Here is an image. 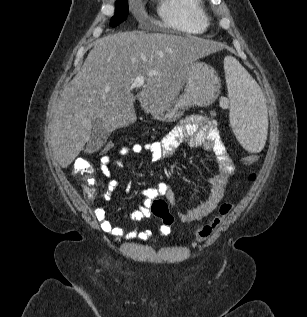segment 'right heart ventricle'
Returning <instances> with one entry per match:
<instances>
[{"mask_svg":"<svg viewBox=\"0 0 307 317\" xmlns=\"http://www.w3.org/2000/svg\"><path fill=\"white\" fill-rule=\"evenodd\" d=\"M158 15L162 25L185 34H201L208 27L203 0H159Z\"/></svg>","mask_w":307,"mask_h":317,"instance_id":"right-heart-ventricle-1","label":"right heart ventricle"}]
</instances>
